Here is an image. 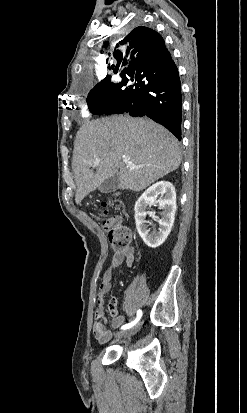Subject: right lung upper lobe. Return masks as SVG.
<instances>
[{"mask_svg":"<svg viewBox=\"0 0 247 413\" xmlns=\"http://www.w3.org/2000/svg\"><path fill=\"white\" fill-rule=\"evenodd\" d=\"M116 64L109 66L123 78L130 75L154 73L172 58L163 38L156 31L139 26L119 41L112 52ZM108 75L103 81H109Z\"/></svg>","mask_w":247,"mask_h":413,"instance_id":"right-lung-upper-lobe-1","label":"right lung upper lobe"}]
</instances>
